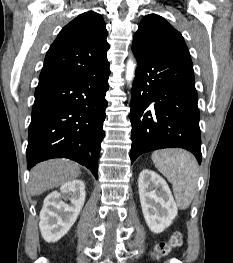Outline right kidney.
<instances>
[{
  "mask_svg": "<svg viewBox=\"0 0 233 263\" xmlns=\"http://www.w3.org/2000/svg\"><path fill=\"white\" fill-rule=\"evenodd\" d=\"M85 184L71 180L51 192L40 212V231L46 242H57L70 230L85 202ZM70 201V204L67 202Z\"/></svg>",
  "mask_w": 233,
  "mask_h": 263,
  "instance_id": "1",
  "label": "right kidney"
}]
</instances>
